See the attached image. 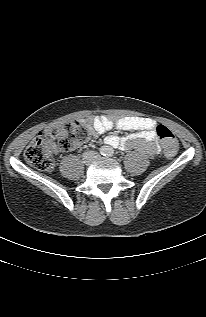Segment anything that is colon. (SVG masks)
<instances>
[{"instance_id":"1","label":"colon","mask_w":206,"mask_h":317,"mask_svg":"<svg viewBox=\"0 0 206 317\" xmlns=\"http://www.w3.org/2000/svg\"><path fill=\"white\" fill-rule=\"evenodd\" d=\"M91 134V129L80 123L69 122L56 126L44 135L34 139L25 149L26 161L33 167L42 171H51L54 162L51 156L54 142L65 151L73 149L76 145L85 142ZM156 134L160 138L164 151L172 156L178 148V141L174 133L164 125L156 127Z\"/></svg>"}]
</instances>
